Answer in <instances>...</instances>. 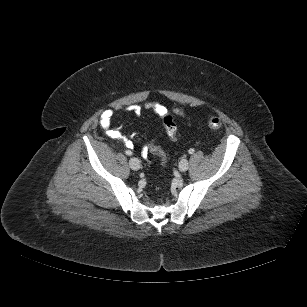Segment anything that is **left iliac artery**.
I'll return each mask as SVG.
<instances>
[{
	"label": "left iliac artery",
	"mask_w": 307,
	"mask_h": 307,
	"mask_svg": "<svg viewBox=\"0 0 307 307\" xmlns=\"http://www.w3.org/2000/svg\"><path fill=\"white\" fill-rule=\"evenodd\" d=\"M188 152H189V154H193L195 152V150L191 148V149H189Z\"/></svg>",
	"instance_id": "left-iliac-artery-1"
}]
</instances>
